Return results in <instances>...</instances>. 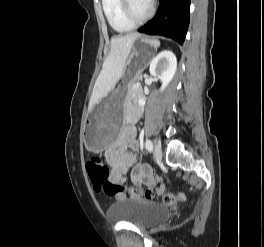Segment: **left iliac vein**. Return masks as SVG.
<instances>
[{
    "label": "left iliac vein",
    "mask_w": 264,
    "mask_h": 247,
    "mask_svg": "<svg viewBox=\"0 0 264 247\" xmlns=\"http://www.w3.org/2000/svg\"><path fill=\"white\" fill-rule=\"evenodd\" d=\"M153 156L155 159L160 160L162 158V148L159 144H156L153 149Z\"/></svg>",
    "instance_id": "obj_1"
}]
</instances>
